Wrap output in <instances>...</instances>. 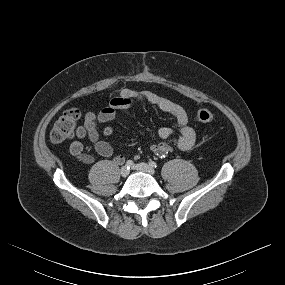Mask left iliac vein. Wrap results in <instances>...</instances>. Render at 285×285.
I'll use <instances>...</instances> for the list:
<instances>
[{"label": "left iliac vein", "mask_w": 285, "mask_h": 285, "mask_svg": "<svg viewBox=\"0 0 285 285\" xmlns=\"http://www.w3.org/2000/svg\"><path fill=\"white\" fill-rule=\"evenodd\" d=\"M133 169L141 171V172H145V173H148V174H151V175L155 174V170L151 166L146 164V163L136 164V165L133 166Z\"/></svg>", "instance_id": "4c4485c4"}]
</instances>
